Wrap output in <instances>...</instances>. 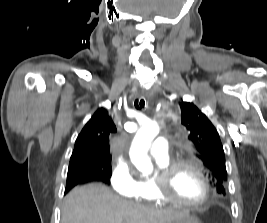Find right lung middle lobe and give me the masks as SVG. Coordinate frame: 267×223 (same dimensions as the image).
I'll use <instances>...</instances> for the list:
<instances>
[{
	"label": "right lung middle lobe",
	"mask_w": 267,
	"mask_h": 223,
	"mask_svg": "<svg viewBox=\"0 0 267 223\" xmlns=\"http://www.w3.org/2000/svg\"><path fill=\"white\" fill-rule=\"evenodd\" d=\"M88 168H89V165H87L86 163H76L74 165H69L68 175H71V174L76 173V172L88 171ZM111 174H112V169L108 175H104V176L109 178L111 176Z\"/></svg>",
	"instance_id": "dd1d6c3e"
}]
</instances>
